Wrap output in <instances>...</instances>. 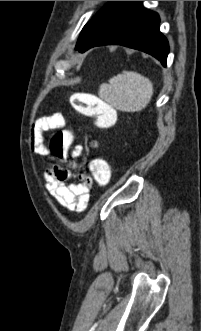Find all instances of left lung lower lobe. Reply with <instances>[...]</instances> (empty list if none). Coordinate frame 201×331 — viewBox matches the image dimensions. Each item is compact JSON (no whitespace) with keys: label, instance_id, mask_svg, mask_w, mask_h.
I'll list each match as a JSON object with an SVG mask.
<instances>
[{"label":"left lung lower lobe","instance_id":"obj_1","mask_svg":"<svg viewBox=\"0 0 201 331\" xmlns=\"http://www.w3.org/2000/svg\"><path fill=\"white\" fill-rule=\"evenodd\" d=\"M159 16L142 1H119L91 34L76 47L80 52L100 45H124L146 52L166 66L169 45L159 31Z\"/></svg>","mask_w":201,"mask_h":331}]
</instances>
